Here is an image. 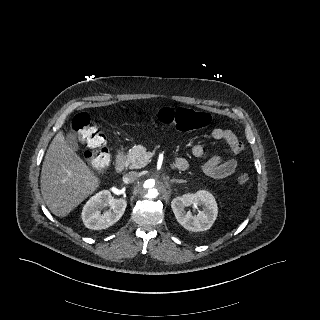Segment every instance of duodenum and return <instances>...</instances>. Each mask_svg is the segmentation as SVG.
<instances>
[{"instance_id": "duodenum-1", "label": "duodenum", "mask_w": 320, "mask_h": 320, "mask_svg": "<svg viewBox=\"0 0 320 320\" xmlns=\"http://www.w3.org/2000/svg\"><path fill=\"white\" fill-rule=\"evenodd\" d=\"M175 166L178 170L184 171L187 169L188 163L183 160L182 161L176 160ZM125 167H126L125 155L122 151H120L116 155L115 169L117 172H122L124 171Z\"/></svg>"}]
</instances>
